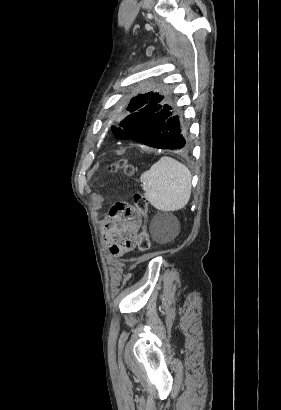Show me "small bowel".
<instances>
[{"label": "small bowel", "instance_id": "small-bowel-1", "mask_svg": "<svg viewBox=\"0 0 281 410\" xmlns=\"http://www.w3.org/2000/svg\"><path fill=\"white\" fill-rule=\"evenodd\" d=\"M140 225L141 216L137 213L127 217L110 215V219L103 225L102 234L113 257L124 256L134 249Z\"/></svg>", "mask_w": 281, "mask_h": 410}]
</instances>
